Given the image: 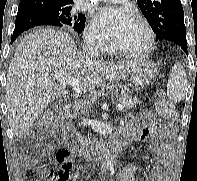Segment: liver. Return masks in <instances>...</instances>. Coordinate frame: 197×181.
<instances>
[{
  "label": "liver",
  "mask_w": 197,
  "mask_h": 181,
  "mask_svg": "<svg viewBox=\"0 0 197 181\" xmlns=\"http://www.w3.org/2000/svg\"><path fill=\"white\" fill-rule=\"evenodd\" d=\"M134 66L132 61L114 64L91 59L62 30L33 31L19 43L7 73L6 104L13 133L18 138L29 136L35 120L49 102L68 94L56 82L55 72L76 77L85 93L94 91L105 80L119 81L131 74Z\"/></svg>",
  "instance_id": "6515ba94"
}]
</instances>
